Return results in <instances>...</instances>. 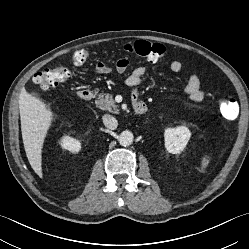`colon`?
Segmentation results:
<instances>
[{
    "label": "colon",
    "instance_id": "5ec220e1",
    "mask_svg": "<svg viewBox=\"0 0 249 249\" xmlns=\"http://www.w3.org/2000/svg\"><path fill=\"white\" fill-rule=\"evenodd\" d=\"M123 50L128 54L143 57L149 61L157 62L166 55V49L163 45L152 43L145 40H138L123 46ZM89 52L85 49H78L71 56V64L74 67L82 66L89 59ZM70 77V72L63 66L53 65L37 74L34 82L43 90L51 89L60 83L66 82ZM220 111L225 119H232L236 111V101L231 98L222 99L219 103Z\"/></svg>",
    "mask_w": 249,
    "mask_h": 249
}]
</instances>
